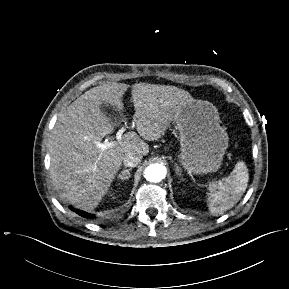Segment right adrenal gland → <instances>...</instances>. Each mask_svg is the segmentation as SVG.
<instances>
[{"mask_svg": "<svg viewBox=\"0 0 289 289\" xmlns=\"http://www.w3.org/2000/svg\"><path fill=\"white\" fill-rule=\"evenodd\" d=\"M130 171H131V168L121 171V173L117 176V178L122 180V181L128 180L130 178V176H131L130 175Z\"/></svg>", "mask_w": 289, "mask_h": 289, "instance_id": "right-adrenal-gland-1", "label": "right adrenal gland"}]
</instances>
